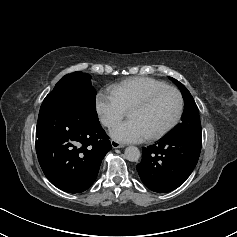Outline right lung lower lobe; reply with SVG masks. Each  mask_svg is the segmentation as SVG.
I'll list each match as a JSON object with an SVG mask.
<instances>
[{
    "instance_id": "right-lung-lower-lobe-1",
    "label": "right lung lower lobe",
    "mask_w": 237,
    "mask_h": 237,
    "mask_svg": "<svg viewBox=\"0 0 237 237\" xmlns=\"http://www.w3.org/2000/svg\"><path fill=\"white\" fill-rule=\"evenodd\" d=\"M36 151L48 180L59 189L80 193L95 181L112 149L99 121H83L42 103L36 127Z\"/></svg>"
}]
</instances>
